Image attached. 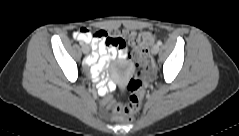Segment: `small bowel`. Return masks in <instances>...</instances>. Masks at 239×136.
<instances>
[{
	"label": "small bowel",
	"mask_w": 239,
	"mask_h": 136,
	"mask_svg": "<svg viewBox=\"0 0 239 136\" xmlns=\"http://www.w3.org/2000/svg\"><path fill=\"white\" fill-rule=\"evenodd\" d=\"M122 37H131L133 33L125 30L122 32ZM76 38L77 35L75 34ZM80 42L90 43L94 49V52L87 59L88 65L91 66L90 72L94 79H98L101 73L109 66L111 60H113L117 55L126 60L129 52V47L125 43L121 47H111L106 44V37L98 36V32L90 33V37L87 39H79ZM115 85L112 82H101V91L107 93L113 91ZM114 101L110 96H106L103 99V104L107 107H111Z\"/></svg>",
	"instance_id": "small-bowel-1"
}]
</instances>
